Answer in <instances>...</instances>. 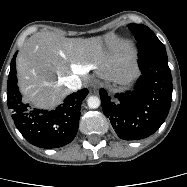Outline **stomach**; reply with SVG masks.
Instances as JSON below:
<instances>
[{
    "instance_id": "1",
    "label": "stomach",
    "mask_w": 187,
    "mask_h": 187,
    "mask_svg": "<svg viewBox=\"0 0 187 187\" xmlns=\"http://www.w3.org/2000/svg\"><path fill=\"white\" fill-rule=\"evenodd\" d=\"M133 83V75L128 77L127 80L120 84V88L124 89L131 86Z\"/></svg>"
}]
</instances>
